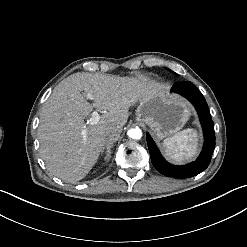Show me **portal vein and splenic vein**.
<instances>
[{
  "mask_svg": "<svg viewBox=\"0 0 247 247\" xmlns=\"http://www.w3.org/2000/svg\"><path fill=\"white\" fill-rule=\"evenodd\" d=\"M100 121V115L97 111L91 113V118L87 120L88 124L94 125Z\"/></svg>",
  "mask_w": 247,
  "mask_h": 247,
  "instance_id": "portal-vein-and-splenic-vein-1",
  "label": "portal vein and splenic vein"
}]
</instances>
